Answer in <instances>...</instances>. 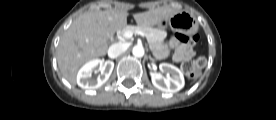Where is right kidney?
Masks as SVG:
<instances>
[{
  "label": "right kidney",
  "instance_id": "ca27d5eb",
  "mask_svg": "<svg viewBox=\"0 0 276 120\" xmlns=\"http://www.w3.org/2000/svg\"><path fill=\"white\" fill-rule=\"evenodd\" d=\"M114 62L93 59L84 64L77 74V84L85 90H94L101 87L110 77ZM100 72L96 80L91 79L92 73Z\"/></svg>",
  "mask_w": 276,
  "mask_h": 120
}]
</instances>
